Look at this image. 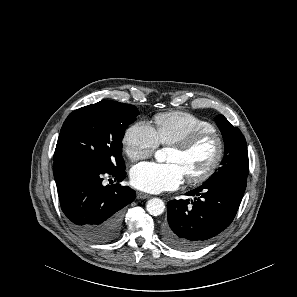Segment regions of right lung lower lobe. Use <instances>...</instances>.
<instances>
[{
    "label": "right lung lower lobe",
    "instance_id": "98d812e1",
    "mask_svg": "<svg viewBox=\"0 0 297 297\" xmlns=\"http://www.w3.org/2000/svg\"><path fill=\"white\" fill-rule=\"evenodd\" d=\"M53 173L61 208L78 234L95 243H107L119 235L123 207L135 199L127 186H103L102 176L109 174L118 182L124 170L106 172L76 160L54 162Z\"/></svg>",
    "mask_w": 297,
    "mask_h": 297
}]
</instances>
